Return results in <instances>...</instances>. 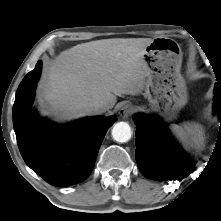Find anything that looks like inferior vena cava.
Returning a JSON list of instances; mask_svg holds the SVG:
<instances>
[{
  "instance_id": "602c4592",
  "label": "inferior vena cava",
  "mask_w": 221,
  "mask_h": 221,
  "mask_svg": "<svg viewBox=\"0 0 221 221\" xmlns=\"http://www.w3.org/2000/svg\"><path fill=\"white\" fill-rule=\"evenodd\" d=\"M109 109V105L104 103V102H96L89 104L86 108L85 111L88 115H98L101 113H104Z\"/></svg>"
}]
</instances>
